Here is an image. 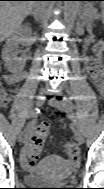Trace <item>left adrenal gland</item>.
I'll use <instances>...</instances> for the list:
<instances>
[{"mask_svg":"<svg viewBox=\"0 0 104 189\" xmlns=\"http://www.w3.org/2000/svg\"><path fill=\"white\" fill-rule=\"evenodd\" d=\"M79 18L82 21L83 24L89 25V20L88 18L82 13V10L79 12Z\"/></svg>","mask_w":104,"mask_h":189,"instance_id":"obj_1","label":"left adrenal gland"}]
</instances>
